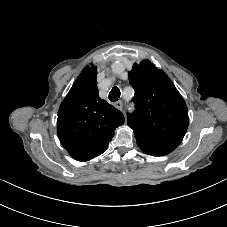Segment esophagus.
Segmentation results:
<instances>
[{
    "label": "esophagus",
    "instance_id": "esophagus-1",
    "mask_svg": "<svg viewBox=\"0 0 227 227\" xmlns=\"http://www.w3.org/2000/svg\"><path fill=\"white\" fill-rule=\"evenodd\" d=\"M114 106L119 109V110H122L123 109V103L122 101H117L115 102Z\"/></svg>",
    "mask_w": 227,
    "mask_h": 227
}]
</instances>
